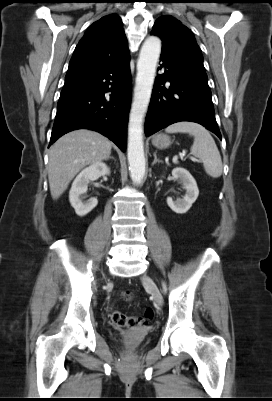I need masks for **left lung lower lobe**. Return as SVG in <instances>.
<instances>
[{
    "label": "left lung lower lobe",
    "mask_w": 272,
    "mask_h": 401,
    "mask_svg": "<svg viewBox=\"0 0 272 401\" xmlns=\"http://www.w3.org/2000/svg\"><path fill=\"white\" fill-rule=\"evenodd\" d=\"M160 61L165 71L155 79L144 127L146 136L176 122L192 121L221 139L205 70L164 53ZM166 81L169 88L164 86Z\"/></svg>",
    "instance_id": "obj_1"
}]
</instances>
